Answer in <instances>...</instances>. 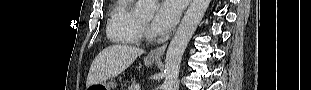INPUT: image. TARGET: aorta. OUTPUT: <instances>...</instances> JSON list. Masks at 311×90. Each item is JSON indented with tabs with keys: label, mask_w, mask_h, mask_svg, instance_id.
<instances>
[{
	"label": "aorta",
	"mask_w": 311,
	"mask_h": 90,
	"mask_svg": "<svg viewBox=\"0 0 311 90\" xmlns=\"http://www.w3.org/2000/svg\"><path fill=\"white\" fill-rule=\"evenodd\" d=\"M156 4L157 0H138L136 11L141 15L152 16L156 10ZM209 4L210 0L191 1L167 50L162 90H176L182 56Z\"/></svg>",
	"instance_id": "aorta-1"
}]
</instances>
